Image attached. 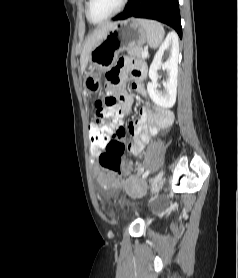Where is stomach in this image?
I'll return each mask as SVG.
<instances>
[{"instance_id":"stomach-1","label":"stomach","mask_w":238,"mask_h":278,"mask_svg":"<svg viewBox=\"0 0 238 278\" xmlns=\"http://www.w3.org/2000/svg\"><path fill=\"white\" fill-rule=\"evenodd\" d=\"M147 41V31L137 19L118 21L109 29L106 36L92 49L89 61L97 71L85 74L83 87L87 94L95 95L101 91L102 72L110 67L117 55L130 46L141 47Z\"/></svg>"}]
</instances>
